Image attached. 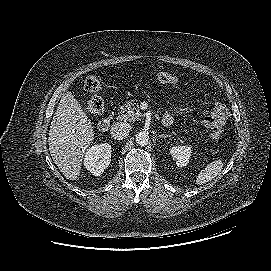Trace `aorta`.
Masks as SVG:
<instances>
[{
  "label": "aorta",
  "mask_w": 271,
  "mask_h": 271,
  "mask_svg": "<svg viewBox=\"0 0 271 271\" xmlns=\"http://www.w3.org/2000/svg\"><path fill=\"white\" fill-rule=\"evenodd\" d=\"M135 140L139 146H145L149 143V135H148V133L143 132V131L138 132L135 135Z\"/></svg>",
  "instance_id": "762f6f07"
}]
</instances>
